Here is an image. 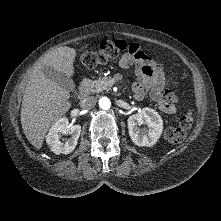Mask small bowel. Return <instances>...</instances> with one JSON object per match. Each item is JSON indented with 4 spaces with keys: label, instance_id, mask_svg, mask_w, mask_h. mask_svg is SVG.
<instances>
[{
    "label": "small bowel",
    "instance_id": "1",
    "mask_svg": "<svg viewBox=\"0 0 221 221\" xmlns=\"http://www.w3.org/2000/svg\"><path fill=\"white\" fill-rule=\"evenodd\" d=\"M112 42L124 51L119 59V66L124 69L133 68L137 76V80L132 85L134 97L142 100L149 95L162 112L176 113L175 104L164 99L169 78L156 68L155 62L136 43L129 44L124 40Z\"/></svg>",
    "mask_w": 221,
    "mask_h": 221
}]
</instances>
